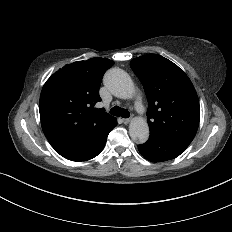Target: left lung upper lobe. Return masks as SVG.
Masks as SVG:
<instances>
[{
  "instance_id": "1",
  "label": "left lung upper lobe",
  "mask_w": 232,
  "mask_h": 232,
  "mask_svg": "<svg viewBox=\"0 0 232 232\" xmlns=\"http://www.w3.org/2000/svg\"><path fill=\"white\" fill-rule=\"evenodd\" d=\"M130 66L148 99L150 134L187 148L200 120L199 99L188 76L176 64L157 54L133 59Z\"/></svg>"
}]
</instances>
